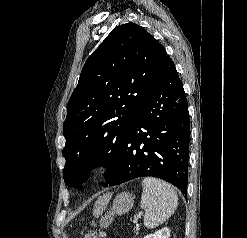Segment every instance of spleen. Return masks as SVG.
I'll list each match as a JSON object with an SVG mask.
<instances>
[{"mask_svg":"<svg viewBox=\"0 0 247 238\" xmlns=\"http://www.w3.org/2000/svg\"><path fill=\"white\" fill-rule=\"evenodd\" d=\"M141 208L144 209V225L153 229L164 223L178 206V196L173 186L154 177L142 181Z\"/></svg>","mask_w":247,"mask_h":238,"instance_id":"obj_1","label":"spleen"}]
</instances>
